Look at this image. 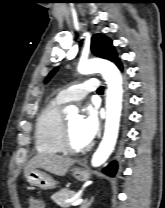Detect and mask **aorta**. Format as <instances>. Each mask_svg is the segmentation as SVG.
<instances>
[{
	"label": "aorta",
	"mask_w": 165,
	"mask_h": 208,
	"mask_svg": "<svg viewBox=\"0 0 165 208\" xmlns=\"http://www.w3.org/2000/svg\"><path fill=\"white\" fill-rule=\"evenodd\" d=\"M78 71L81 74L99 72L105 79L108 89L106 97V123L103 139L92 156L93 167L102 165L112 153L119 131V122L122 109V78L118 68L110 61L104 59H90L80 62ZM74 106L68 107L69 114L76 112Z\"/></svg>",
	"instance_id": "1"
}]
</instances>
